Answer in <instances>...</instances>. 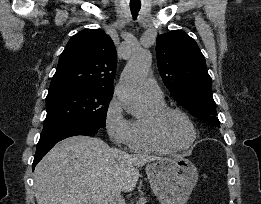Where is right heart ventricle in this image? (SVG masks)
<instances>
[{"label":"right heart ventricle","mask_w":261,"mask_h":204,"mask_svg":"<svg viewBox=\"0 0 261 204\" xmlns=\"http://www.w3.org/2000/svg\"><path fill=\"white\" fill-rule=\"evenodd\" d=\"M147 113L142 118L131 120V136L129 147L135 151L152 153H171L173 150L163 145L155 137L152 129L153 116L167 107L165 101L145 100Z\"/></svg>","instance_id":"1"}]
</instances>
